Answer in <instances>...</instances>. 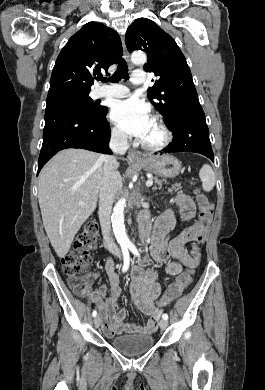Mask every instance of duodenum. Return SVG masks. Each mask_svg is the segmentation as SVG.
Listing matches in <instances>:
<instances>
[{"mask_svg":"<svg viewBox=\"0 0 265 390\" xmlns=\"http://www.w3.org/2000/svg\"><path fill=\"white\" fill-rule=\"evenodd\" d=\"M142 238L147 239L150 236L149 232V221L146 219L140 218Z\"/></svg>","mask_w":265,"mask_h":390,"instance_id":"410a0bca","label":"duodenum"}]
</instances>
